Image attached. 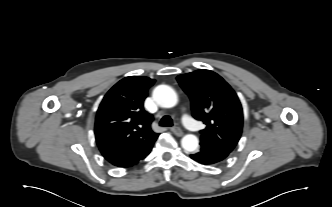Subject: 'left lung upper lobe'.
<instances>
[{"label":"left lung upper lobe","mask_w":332,"mask_h":207,"mask_svg":"<svg viewBox=\"0 0 332 207\" xmlns=\"http://www.w3.org/2000/svg\"><path fill=\"white\" fill-rule=\"evenodd\" d=\"M190 97L192 116L206 125L200 144L230 153L238 143L243 125L241 103L227 82L210 70H197L177 77Z\"/></svg>","instance_id":"left-lung-upper-lobe-1"}]
</instances>
